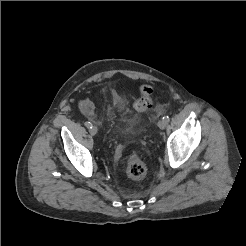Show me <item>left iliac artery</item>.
<instances>
[{"instance_id":"1","label":"left iliac artery","mask_w":246,"mask_h":246,"mask_svg":"<svg viewBox=\"0 0 246 246\" xmlns=\"http://www.w3.org/2000/svg\"><path fill=\"white\" fill-rule=\"evenodd\" d=\"M166 123H168L169 122V116H164L163 118H162Z\"/></svg>"}]
</instances>
